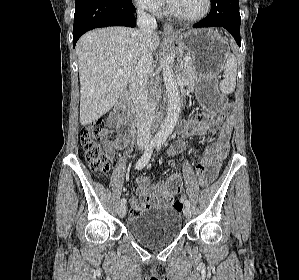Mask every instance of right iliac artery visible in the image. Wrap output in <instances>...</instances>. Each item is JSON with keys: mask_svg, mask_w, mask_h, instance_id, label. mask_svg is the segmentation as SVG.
Segmentation results:
<instances>
[{"mask_svg": "<svg viewBox=\"0 0 299 280\" xmlns=\"http://www.w3.org/2000/svg\"><path fill=\"white\" fill-rule=\"evenodd\" d=\"M158 140L153 139L146 147L144 154L140 157V159L137 161L135 168L136 169H142L143 167L146 166V164L149 162L151 155L153 153V149L156 146ZM121 204H126V199L122 198L121 199Z\"/></svg>", "mask_w": 299, "mask_h": 280, "instance_id": "1", "label": "right iliac artery"}]
</instances>
